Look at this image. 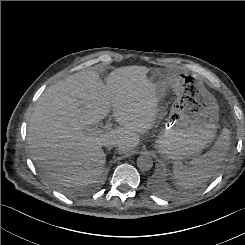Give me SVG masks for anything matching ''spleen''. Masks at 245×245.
Masks as SVG:
<instances>
[{
    "mask_svg": "<svg viewBox=\"0 0 245 245\" xmlns=\"http://www.w3.org/2000/svg\"><path fill=\"white\" fill-rule=\"evenodd\" d=\"M230 146L229 130L224 128L210 151L196 158L192 167L176 163L173 167V177L176 184L185 189H194L208 181L224 160Z\"/></svg>",
    "mask_w": 245,
    "mask_h": 245,
    "instance_id": "spleen-1",
    "label": "spleen"
}]
</instances>
